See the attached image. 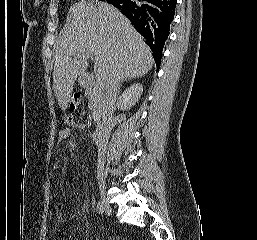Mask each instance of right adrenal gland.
Wrapping results in <instances>:
<instances>
[{"mask_svg": "<svg viewBox=\"0 0 257 240\" xmlns=\"http://www.w3.org/2000/svg\"><path fill=\"white\" fill-rule=\"evenodd\" d=\"M130 79H124L123 81H121L120 83V86H119V90H118V94H120V90H121V87H122V84L124 81H129Z\"/></svg>", "mask_w": 257, "mask_h": 240, "instance_id": "2a0ac1e0", "label": "right adrenal gland"}]
</instances>
